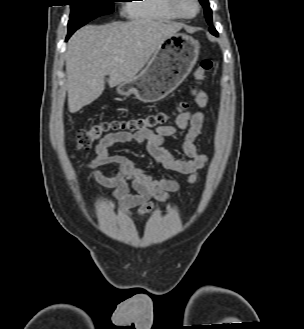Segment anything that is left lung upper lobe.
I'll return each mask as SVG.
<instances>
[{"label":"left lung upper lobe","instance_id":"1","mask_svg":"<svg viewBox=\"0 0 304 329\" xmlns=\"http://www.w3.org/2000/svg\"><path fill=\"white\" fill-rule=\"evenodd\" d=\"M199 1L202 4V6L204 7L205 17L207 19V22H208V24L211 25V23H212V15H211L212 11H211L208 0H199ZM213 29H214V27L210 26V31L213 30Z\"/></svg>","mask_w":304,"mask_h":329}]
</instances>
